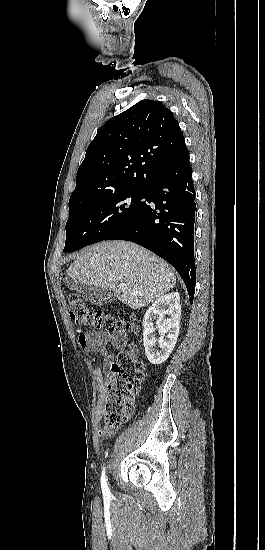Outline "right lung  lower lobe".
<instances>
[{"mask_svg": "<svg viewBox=\"0 0 265 550\" xmlns=\"http://www.w3.org/2000/svg\"><path fill=\"white\" fill-rule=\"evenodd\" d=\"M145 209L104 240L137 243L170 263L183 279L192 304L196 267L194 220L196 204L189 152L186 149L148 187Z\"/></svg>", "mask_w": 265, "mask_h": 550, "instance_id": "1", "label": "right lung lower lobe"}]
</instances>
